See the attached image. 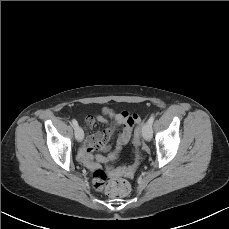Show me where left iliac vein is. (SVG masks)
Segmentation results:
<instances>
[{
  "instance_id": "1",
  "label": "left iliac vein",
  "mask_w": 229,
  "mask_h": 229,
  "mask_svg": "<svg viewBox=\"0 0 229 229\" xmlns=\"http://www.w3.org/2000/svg\"><path fill=\"white\" fill-rule=\"evenodd\" d=\"M143 138L146 141H150L152 139V125L150 123H145L142 128Z\"/></svg>"
}]
</instances>
